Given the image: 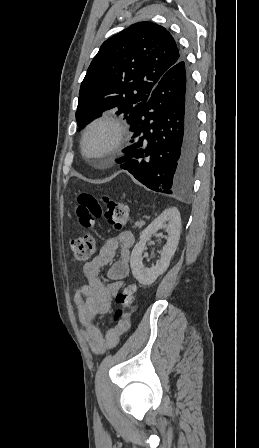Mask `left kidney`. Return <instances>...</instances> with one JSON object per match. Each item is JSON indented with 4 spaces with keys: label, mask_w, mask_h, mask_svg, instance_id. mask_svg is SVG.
Returning <instances> with one entry per match:
<instances>
[{
    "label": "left kidney",
    "mask_w": 259,
    "mask_h": 448,
    "mask_svg": "<svg viewBox=\"0 0 259 448\" xmlns=\"http://www.w3.org/2000/svg\"><path fill=\"white\" fill-rule=\"evenodd\" d=\"M168 222V224H166ZM160 228H166L168 234L167 244L163 248L161 254V260H158L156 266L153 268H145L142 260V254L144 252L145 244L147 240H150L152 234H155ZM181 218L180 212L177 208H168L165 212H162L152 224H149L148 228L143 230L140 236V242L133 248L131 254L130 266L132 274L142 286H150L154 284L158 276L166 272L172 256L176 252L180 238Z\"/></svg>",
    "instance_id": "obj_1"
}]
</instances>
